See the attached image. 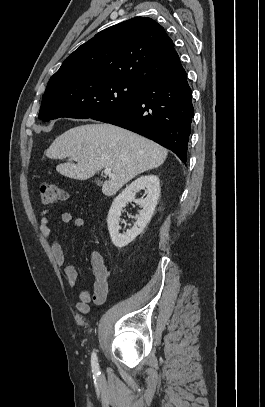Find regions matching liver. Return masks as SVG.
<instances>
[{
  "instance_id": "liver-1",
  "label": "liver",
  "mask_w": 265,
  "mask_h": 407,
  "mask_svg": "<svg viewBox=\"0 0 265 407\" xmlns=\"http://www.w3.org/2000/svg\"><path fill=\"white\" fill-rule=\"evenodd\" d=\"M167 155L168 151L154 141L106 123L71 128L46 150L48 158H68L69 162L56 170L71 179L87 180L110 168L114 177L102 186L106 196L114 195L135 176L162 165Z\"/></svg>"
}]
</instances>
